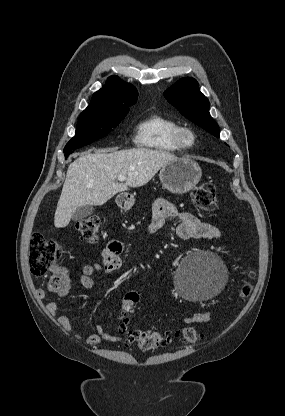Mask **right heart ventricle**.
<instances>
[{"instance_id":"obj_1","label":"right heart ventricle","mask_w":285,"mask_h":416,"mask_svg":"<svg viewBox=\"0 0 285 416\" xmlns=\"http://www.w3.org/2000/svg\"><path fill=\"white\" fill-rule=\"evenodd\" d=\"M180 124L173 118L151 113L137 126L138 145L157 152H178L181 148L176 142Z\"/></svg>"}]
</instances>
